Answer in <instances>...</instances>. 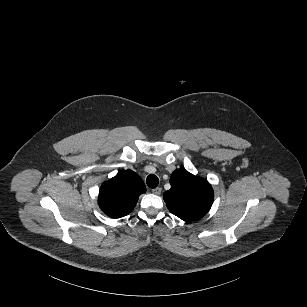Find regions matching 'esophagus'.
Masks as SVG:
<instances>
[{
  "label": "esophagus",
  "instance_id": "1",
  "mask_svg": "<svg viewBox=\"0 0 307 307\" xmlns=\"http://www.w3.org/2000/svg\"><path fill=\"white\" fill-rule=\"evenodd\" d=\"M161 191H162L161 187H157L155 189H152V193L155 194V195H160Z\"/></svg>",
  "mask_w": 307,
  "mask_h": 307
}]
</instances>
